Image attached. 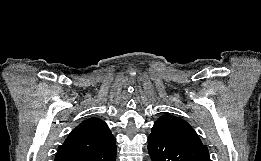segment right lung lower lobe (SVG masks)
<instances>
[{"instance_id": "98d812e1", "label": "right lung lower lobe", "mask_w": 261, "mask_h": 161, "mask_svg": "<svg viewBox=\"0 0 261 161\" xmlns=\"http://www.w3.org/2000/svg\"><path fill=\"white\" fill-rule=\"evenodd\" d=\"M59 161H116V145L114 142L100 151L74 155Z\"/></svg>"}]
</instances>
